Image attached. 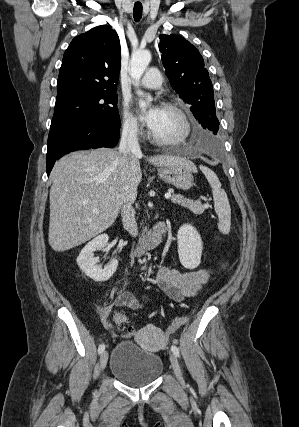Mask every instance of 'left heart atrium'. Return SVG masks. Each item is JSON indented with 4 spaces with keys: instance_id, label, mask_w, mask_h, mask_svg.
<instances>
[{
    "instance_id": "39dd6f15",
    "label": "left heart atrium",
    "mask_w": 299,
    "mask_h": 427,
    "mask_svg": "<svg viewBox=\"0 0 299 427\" xmlns=\"http://www.w3.org/2000/svg\"><path fill=\"white\" fill-rule=\"evenodd\" d=\"M160 111V107L154 106L145 112H141L140 118L152 130L157 123Z\"/></svg>"
}]
</instances>
